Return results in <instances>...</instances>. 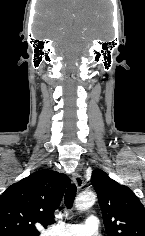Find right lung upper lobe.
Wrapping results in <instances>:
<instances>
[{"instance_id": "right-lung-upper-lobe-1", "label": "right lung upper lobe", "mask_w": 145, "mask_h": 236, "mask_svg": "<svg viewBox=\"0 0 145 236\" xmlns=\"http://www.w3.org/2000/svg\"><path fill=\"white\" fill-rule=\"evenodd\" d=\"M70 179L52 170H39L8 187L0 196V236H39L35 224H53Z\"/></svg>"}]
</instances>
